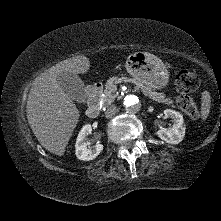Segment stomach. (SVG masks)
Listing matches in <instances>:
<instances>
[{
    "mask_svg": "<svg viewBox=\"0 0 221 221\" xmlns=\"http://www.w3.org/2000/svg\"><path fill=\"white\" fill-rule=\"evenodd\" d=\"M125 68L134 80L154 90H160L168 84L169 72L166 65L151 53L135 52L129 55Z\"/></svg>",
    "mask_w": 221,
    "mask_h": 221,
    "instance_id": "obj_1",
    "label": "stomach"
}]
</instances>
